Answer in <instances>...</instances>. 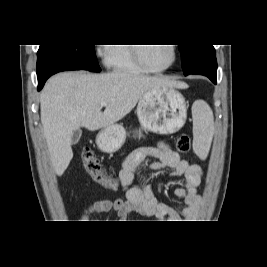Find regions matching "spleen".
Here are the masks:
<instances>
[{"label":"spleen","instance_id":"obj_1","mask_svg":"<svg viewBox=\"0 0 267 267\" xmlns=\"http://www.w3.org/2000/svg\"><path fill=\"white\" fill-rule=\"evenodd\" d=\"M213 125V114L207 106H204L200 113L194 115L193 149L202 159L206 158L208 154L213 137Z\"/></svg>","mask_w":267,"mask_h":267}]
</instances>
